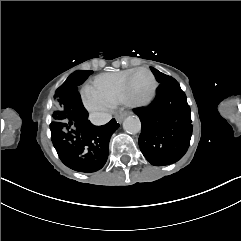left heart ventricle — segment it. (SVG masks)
<instances>
[{"instance_id":"obj_1","label":"left heart ventricle","mask_w":241,"mask_h":241,"mask_svg":"<svg viewBox=\"0 0 241 241\" xmlns=\"http://www.w3.org/2000/svg\"><path fill=\"white\" fill-rule=\"evenodd\" d=\"M128 90L130 91L129 104L131 106L147 102L153 96V87L147 76H137L133 82L128 85Z\"/></svg>"}]
</instances>
